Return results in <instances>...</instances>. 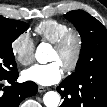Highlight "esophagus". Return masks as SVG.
I'll use <instances>...</instances> for the list:
<instances>
[{"label":"esophagus","mask_w":107,"mask_h":107,"mask_svg":"<svg viewBox=\"0 0 107 107\" xmlns=\"http://www.w3.org/2000/svg\"><path fill=\"white\" fill-rule=\"evenodd\" d=\"M48 90V88H46V87H43V86H39L38 87V92L39 93H43V92H45V91H47Z\"/></svg>","instance_id":"34e87169"}]
</instances>
